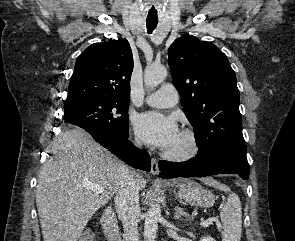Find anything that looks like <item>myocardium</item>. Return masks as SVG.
Returning a JSON list of instances; mask_svg holds the SVG:
<instances>
[{
    "instance_id": "myocardium-1",
    "label": "myocardium",
    "mask_w": 295,
    "mask_h": 241,
    "mask_svg": "<svg viewBox=\"0 0 295 241\" xmlns=\"http://www.w3.org/2000/svg\"><path fill=\"white\" fill-rule=\"evenodd\" d=\"M180 135L187 141L186 149L182 151L166 150L164 156L176 162H186L196 158L201 151V142L198 134L190 128H185L180 132Z\"/></svg>"
}]
</instances>
